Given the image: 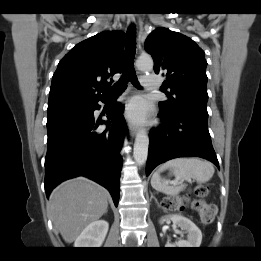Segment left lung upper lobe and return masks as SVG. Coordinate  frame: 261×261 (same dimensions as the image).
Wrapping results in <instances>:
<instances>
[{
    "instance_id": "obj_1",
    "label": "left lung upper lobe",
    "mask_w": 261,
    "mask_h": 261,
    "mask_svg": "<svg viewBox=\"0 0 261 261\" xmlns=\"http://www.w3.org/2000/svg\"><path fill=\"white\" fill-rule=\"evenodd\" d=\"M145 50L154 60L156 74L166 76L163 88L168 100L159 102L162 112L188 107L207 112V61L203 50L189 37L167 28H157L145 41Z\"/></svg>"
}]
</instances>
